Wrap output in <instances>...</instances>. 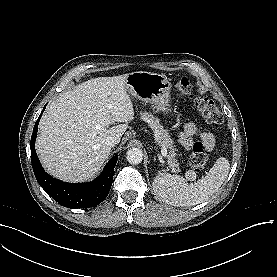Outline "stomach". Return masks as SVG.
Listing matches in <instances>:
<instances>
[{
    "label": "stomach",
    "instance_id": "stomach-1",
    "mask_svg": "<svg viewBox=\"0 0 277 277\" xmlns=\"http://www.w3.org/2000/svg\"><path fill=\"white\" fill-rule=\"evenodd\" d=\"M125 88L133 97L152 104L158 111H170L171 83L164 74L147 71L129 73Z\"/></svg>",
    "mask_w": 277,
    "mask_h": 277
}]
</instances>
